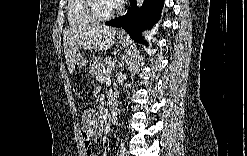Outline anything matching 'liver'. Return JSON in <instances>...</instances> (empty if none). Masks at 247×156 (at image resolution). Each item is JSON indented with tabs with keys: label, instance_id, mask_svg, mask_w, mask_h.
I'll list each match as a JSON object with an SVG mask.
<instances>
[{
	"label": "liver",
	"instance_id": "obj_1",
	"mask_svg": "<svg viewBox=\"0 0 247 156\" xmlns=\"http://www.w3.org/2000/svg\"><path fill=\"white\" fill-rule=\"evenodd\" d=\"M116 29L104 25L70 28L64 34V54L69 73L74 70L75 55L81 48L103 51L112 47Z\"/></svg>",
	"mask_w": 247,
	"mask_h": 156
}]
</instances>
